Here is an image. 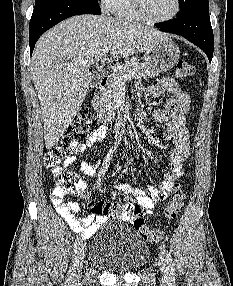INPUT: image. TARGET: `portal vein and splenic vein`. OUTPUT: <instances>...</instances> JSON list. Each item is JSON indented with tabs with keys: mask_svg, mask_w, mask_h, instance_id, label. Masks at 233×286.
<instances>
[{
	"mask_svg": "<svg viewBox=\"0 0 233 286\" xmlns=\"http://www.w3.org/2000/svg\"><path fill=\"white\" fill-rule=\"evenodd\" d=\"M109 49H110V47H104V48L102 49L100 55L97 57L96 60H97V61L102 60V59L106 56V54H108ZM128 79H131V75H130V74H125V75H123V76H121V77L119 78V82L126 81V80H128Z\"/></svg>",
	"mask_w": 233,
	"mask_h": 286,
	"instance_id": "obj_1",
	"label": "portal vein and splenic vein"
}]
</instances>
